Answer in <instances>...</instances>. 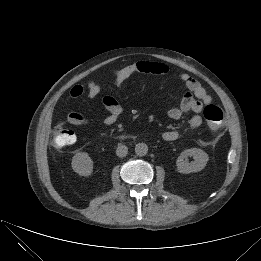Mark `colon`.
Instances as JSON below:
<instances>
[{
	"mask_svg": "<svg viewBox=\"0 0 261 261\" xmlns=\"http://www.w3.org/2000/svg\"><path fill=\"white\" fill-rule=\"evenodd\" d=\"M203 114L211 129L219 130L224 126L226 114L220 107L213 104L207 105ZM75 139V133L62 123L58 124L53 130L52 144L57 149L73 144Z\"/></svg>",
	"mask_w": 261,
	"mask_h": 261,
	"instance_id": "5ec220e1",
	"label": "colon"
}]
</instances>
